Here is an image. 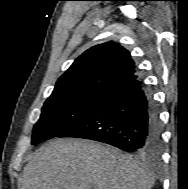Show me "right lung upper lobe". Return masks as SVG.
Instances as JSON below:
<instances>
[{
    "label": "right lung upper lobe",
    "instance_id": "cb5924a9",
    "mask_svg": "<svg viewBox=\"0 0 188 189\" xmlns=\"http://www.w3.org/2000/svg\"><path fill=\"white\" fill-rule=\"evenodd\" d=\"M130 53L114 42L96 45L79 56L56 82L52 95L100 89L109 92L137 80Z\"/></svg>",
    "mask_w": 188,
    "mask_h": 189
}]
</instances>
